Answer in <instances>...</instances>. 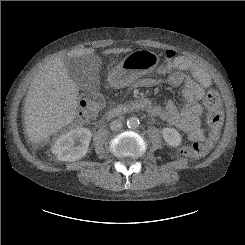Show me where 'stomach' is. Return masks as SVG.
I'll use <instances>...</instances> for the list:
<instances>
[{
	"label": "stomach",
	"mask_w": 245,
	"mask_h": 245,
	"mask_svg": "<svg viewBox=\"0 0 245 245\" xmlns=\"http://www.w3.org/2000/svg\"><path fill=\"white\" fill-rule=\"evenodd\" d=\"M159 64V57L149 50H138L127 55L110 73L115 87H125L139 77L151 73Z\"/></svg>",
	"instance_id": "stomach-1"
}]
</instances>
